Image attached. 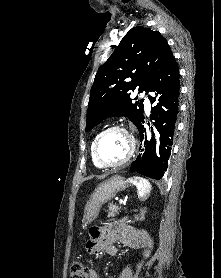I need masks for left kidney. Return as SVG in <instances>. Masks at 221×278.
I'll list each match as a JSON object with an SVG mask.
<instances>
[{
  "mask_svg": "<svg viewBox=\"0 0 221 278\" xmlns=\"http://www.w3.org/2000/svg\"><path fill=\"white\" fill-rule=\"evenodd\" d=\"M145 212H146V208H144V209L141 210V218H140V219H143V218H144Z\"/></svg>",
  "mask_w": 221,
  "mask_h": 278,
  "instance_id": "obj_1",
  "label": "left kidney"
}]
</instances>
